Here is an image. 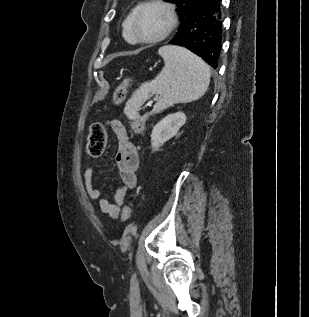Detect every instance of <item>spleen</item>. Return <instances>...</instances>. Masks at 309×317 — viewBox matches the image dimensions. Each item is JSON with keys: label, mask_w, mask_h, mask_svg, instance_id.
I'll return each mask as SVG.
<instances>
[{"label": "spleen", "mask_w": 309, "mask_h": 317, "mask_svg": "<svg viewBox=\"0 0 309 317\" xmlns=\"http://www.w3.org/2000/svg\"><path fill=\"white\" fill-rule=\"evenodd\" d=\"M164 68L151 81L142 83L127 101L124 113L129 119L138 118L141 105L150 93L159 96L149 115L159 113L177 103H188L201 98L210 83V68L197 55L183 47L166 45L158 50ZM148 114L143 117L145 120Z\"/></svg>", "instance_id": "spleen-1"}]
</instances>
